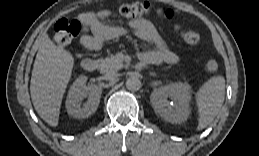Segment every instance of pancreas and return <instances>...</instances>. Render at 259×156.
I'll return each mask as SVG.
<instances>
[{"label": "pancreas", "mask_w": 259, "mask_h": 156, "mask_svg": "<svg viewBox=\"0 0 259 156\" xmlns=\"http://www.w3.org/2000/svg\"><path fill=\"white\" fill-rule=\"evenodd\" d=\"M123 68V59L118 55H111L100 60V70L102 73H112Z\"/></svg>", "instance_id": "1"}]
</instances>
